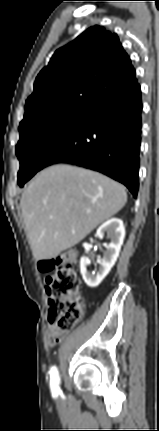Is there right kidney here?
Masks as SVG:
<instances>
[{
    "label": "right kidney",
    "instance_id": "1",
    "mask_svg": "<svg viewBox=\"0 0 159 431\" xmlns=\"http://www.w3.org/2000/svg\"><path fill=\"white\" fill-rule=\"evenodd\" d=\"M104 233H107L111 242L104 245L106 250L103 257L98 259L99 267L94 272H90L87 270V266L90 264L89 259L82 257L80 260V272L83 280L90 288L97 287L103 281L119 256L125 237V228L122 220L118 218L108 220L98 228L96 236L101 238Z\"/></svg>",
    "mask_w": 159,
    "mask_h": 431
}]
</instances>
